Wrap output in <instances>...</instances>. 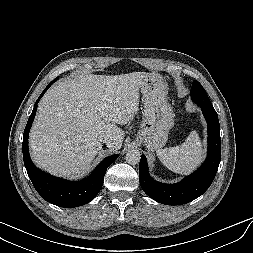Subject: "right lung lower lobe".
Returning <instances> with one entry per match:
<instances>
[{
    "label": "right lung lower lobe",
    "instance_id": "98d812e1",
    "mask_svg": "<svg viewBox=\"0 0 253 253\" xmlns=\"http://www.w3.org/2000/svg\"><path fill=\"white\" fill-rule=\"evenodd\" d=\"M53 82L54 81H52L41 93L28 119L23 134V159L28 176L31 179L34 188L44 200L60 207H78L89 203L98 194L103 185L104 175L107 168L118 158L119 155L115 154L105 158L88 178L77 182L53 177L44 173L33 164L28 150V134L36 114L37 104Z\"/></svg>",
    "mask_w": 253,
    "mask_h": 253
}]
</instances>
